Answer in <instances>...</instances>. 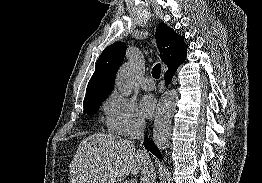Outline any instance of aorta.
<instances>
[{
    "mask_svg": "<svg viewBox=\"0 0 262 183\" xmlns=\"http://www.w3.org/2000/svg\"><path fill=\"white\" fill-rule=\"evenodd\" d=\"M132 66L124 64L119 69L115 85L123 96L132 93ZM178 101L176 90L167 91L160 99L155 115L153 140L159 150H165L169 146L171 136V119Z\"/></svg>",
    "mask_w": 262,
    "mask_h": 183,
    "instance_id": "aorta-1",
    "label": "aorta"
}]
</instances>
